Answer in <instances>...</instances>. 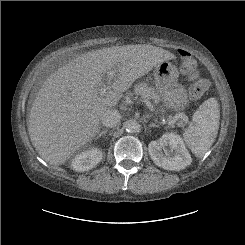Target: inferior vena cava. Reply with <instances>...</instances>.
<instances>
[{"label": "inferior vena cava", "instance_id": "obj_1", "mask_svg": "<svg viewBox=\"0 0 245 245\" xmlns=\"http://www.w3.org/2000/svg\"><path fill=\"white\" fill-rule=\"evenodd\" d=\"M121 115L118 110H107L102 116L101 122L103 126L112 128L120 123Z\"/></svg>", "mask_w": 245, "mask_h": 245}]
</instances>
